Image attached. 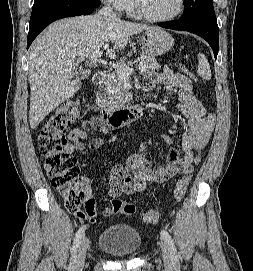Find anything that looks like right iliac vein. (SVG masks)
Returning <instances> with one entry per match:
<instances>
[{
  "label": "right iliac vein",
  "mask_w": 253,
  "mask_h": 271,
  "mask_svg": "<svg viewBox=\"0 0 253 271\" xmlns=\"http://www.w3.org/2000/svg\"><path fill=\"white\" fill-rule=\"evenodd\" d=\"M89 241L86 237H83L78 248L77 260H76V271H82L85 263L86 251L88 249Z\"/></svg>",
  "instance_id": "1"
}]
</instances>
